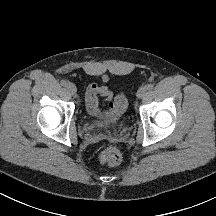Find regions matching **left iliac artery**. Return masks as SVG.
Listing matches in <instances>:
<instances>
[{"label":"left iliac artery","instance_id":"left-iliac-artery-1","mask_svg":"<svg viewBox=\"0 0 216 216\" xmlns=\"http://www.w3.org/2000/svg\"><path fill=\"white\" fill-rule=\"evenodd\" d=\"M146 87L148 90H151V89H153V84H148Z\"/></svg>","mask_w":216,"mask_h":216}]
</instances>
